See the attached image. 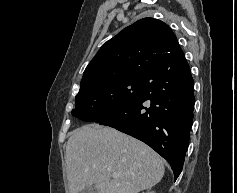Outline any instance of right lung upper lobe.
Listing matches in <instances>:
<instances>
[{
	"label": "right lung upper lobe",
	"mask_w": 237,
	"mask_h": 193,
	"mask_svg": "<svg viewBox=\"0 0 237 193\" xmlns=\"http://www.w3.org/2000/svg\"><path fill=\"white\" fill-rule=\"evenodd\" d=\"M164 22L143 18L107 41L86 67L80 88L103 80L146 76L163 59L180 51Z\"/></svg>",
	"instance_id": "cb5924a9"
}]
</instances>
